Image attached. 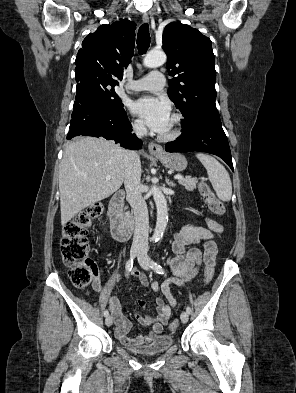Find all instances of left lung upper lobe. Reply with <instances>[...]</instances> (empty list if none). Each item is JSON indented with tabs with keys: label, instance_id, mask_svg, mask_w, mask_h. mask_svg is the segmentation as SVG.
Returning <instances> with one entry per match:
<instances>
[{
	"label": "left lung upper lobe",
	"instance_id": "left-lung-upper-lobe-1",
	"mask_svg": "<svg viewBox=\"0 0 296 393\" xmlns=\"http://www.w3.org/2000/svg\"><path fill=\"white\" fill-rule=\"evenodd\" d=\"M167 54L168 96L184 116L182 127L216 108V71L211 40L200 31L178 22L167 25L163 33Z\"/></svg>",
	"mask_w": 296,
	"mask_h": 393
}]
</instances>
